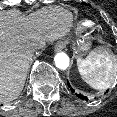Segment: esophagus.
<instances>
[{"label": "esophagus", "mask_w": 117, "mask_h": 117, "mask_svg": "<svg viewBox=\"0 0 117 117\" xmlns=\"http://www.w3.org/2000/svg\"><path fill=\"white\" fill-rule=\"evenodd\" d=\"M65 46H66V42L65 41H58L55 44L54 49H55L56 52H59V51L63 50L65 48Z\"/></svg>", "instance_id": "34e87169"}]
</instances>
